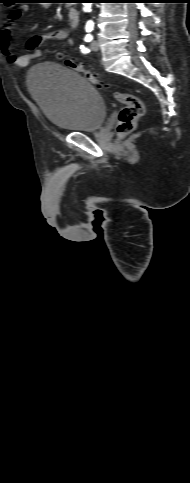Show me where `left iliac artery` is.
Here are the masks:
<instances>
[{"label":"left iliac artery","instance_id":"left-iliac-artery-1","mask_svg":"<svg viewBox=\"0 0 190 483\" xmlns=\"http://www.w3.org/2000/svg\"><path fill=\"white\" fill-rule=\"evenodd\" d=\"M92 39H93V36H92V35H90V34H87V35L85 36V38H84V40H85L86 42H90V41H92ZM80 49H81V52H82V53H89V52H90V50H89L88 48L84 47V45H81V46H80Z\"/></svg>","mask_w":190,"mask_h":483}]
</instances>
